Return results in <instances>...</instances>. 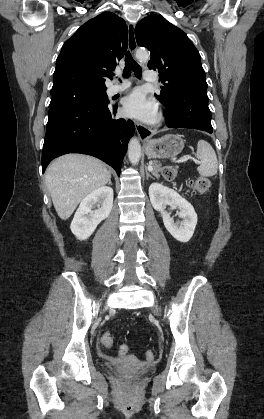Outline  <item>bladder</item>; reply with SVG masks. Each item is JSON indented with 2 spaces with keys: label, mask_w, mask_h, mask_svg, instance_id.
<instances>
[{
  "label": "bladder",
  "mask_w": 264,
  "mask_h": 419,
  "mask_svg": "<svg viewBox=\"0 0 264 419\" xmlns=\"http://www.w3.org/2000/svg\"><path fill=\"white\" fill-rule=\"evenodd\" d=\"M106 368H108V369H110V370H113V367H112V366H110V365H106Z\"/></svg>",
  "instance_id": "1"
}]
</instances>
